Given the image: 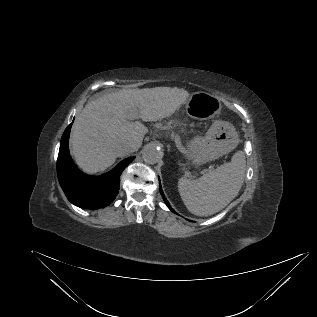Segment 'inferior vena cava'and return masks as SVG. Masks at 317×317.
Returning a JSON list of instances; mask_svg holds the SVG:
<instances>
[{"mask_svg":"<svg viewBox=\"0 0 317 317\" xmlns=\"http://www.w3.org/2000/svg\"><path fill=\"white\" fill-rule=\"evenodd\" d=\"M136 150H137L136 144L131 142H124L118 147V153L120 155H126Z\"/></svg>","mask_w":317,"mask_h":317,"instance_id":"obj_1","label":"inferior vena cava"}]
</instances>
